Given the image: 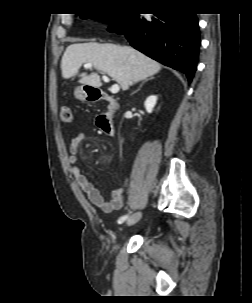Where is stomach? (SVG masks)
Listing matches in <instances>:
<instances>
[{"label":"stomach","mask_w":252,"mask_h":303,"mask_svg":"<svg viewBox=\"0 0 252 303\" xmlns=\"http://www.w3.org/2000/svg\"><path fill=\"white\" fill-rule=\"evenodd\" d=\"M87 89L88 88L85 85L78 86L74 91L75 97L81 101L87 100V98L89 97V95L87 93Z\"/></svg>","instance_id":"obj_1"}]
</instances>
